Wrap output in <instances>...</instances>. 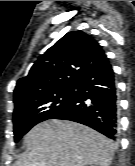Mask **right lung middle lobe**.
I'll return each mask as SVG.
<instances>
[{"label": "right lung middle lobe", "instance_id": "obj_1", "mask_svg": "<svg viewBox=\"0 0 135 166\" xmlns=\"http://www.w3.org/2000/svg\"><path fill=\"white\" fill-rule=\"evenodd\" d=\"M74 96L75 87H71L15 108L13 113L15 142H18L33 126L51 119L57 112L69 106Z\"/></svg>", "mask_w": 135, "mask_h": 166}]
</instances>
